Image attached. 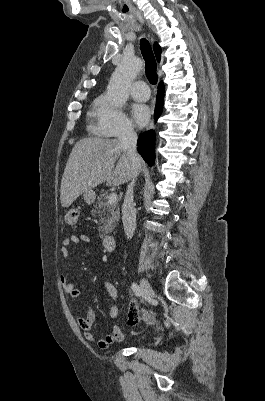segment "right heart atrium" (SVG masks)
Returning a JSON list of instances; mask_svg holds the SVG:
<instances>
[{
	"mask_svg": "<svg viewBox=\"0 0 265 401\" xmlns=\"http://www.w3.org/2000/svg\"><path fill=\"white\" fill-rule=\"evenodd\" d=\"M94 118L96 128L104 135L124 138L134 133L130 119L106 97L101 98Z\"/></svg>",
	"mask_w": 265,
	"mask_h": 401,
	"instance_id": "obj_1",
	"label": "right heart atrium"
}]
</instances>
